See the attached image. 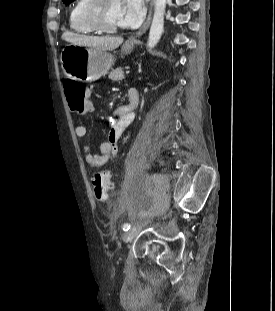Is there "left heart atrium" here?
Segmentation results:
<instances>
[{
  "label": "left heart atrium",
  "instance_id": "1",
  "mask_svg": "<svg viewBox=\"0 0 275 311\" xmlns=\"http://www.w3.org/2000/svg\"><path fill=\"white\" fill-rule=\"evenodd\" d=\"M146 0H122L121 23L124 27L138 26L146 13Z\"/></svg>",
  "mask_w": 275,
  "mask_h": 311
}]
</instances>
